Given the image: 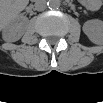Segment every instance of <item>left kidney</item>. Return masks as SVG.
<instances>
[{
  "mask_svg": "<svg viewBox=\"0 0 103 103\" xmlns=\"http://www.w3.org/2000/svg\"><path fill=\"white\" fill-rule=\"evenodd\" d=\"M83 32L89 40L97 45L103 42V22L98 19L88 20L83 24Z\"/></svg>",
  "mask_w": 103,
  "mask_h": 103,
  "instance_id": "1",
  "label": "left kidney"
}]
</instances>
